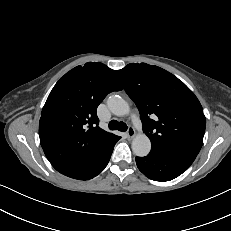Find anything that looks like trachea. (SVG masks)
Here are the masks:
<instances>
[{
  "mask_svg": "<svg viewBox=\"0 0 231 231\" xmlns=\"http://www.w3.org/2000/svg\"><path fill=\"white\" fill-rule=\"evenodd\" d=\"M108 126L110 130H119L121 132H125L128 129L126 123L118 122L116 120L110 121Z\"/></svg>",
  "mask_w": 231,
  "mask_h": 231,
  "instance_id": "1",
  "label": "trachea"
}]
</instances>
